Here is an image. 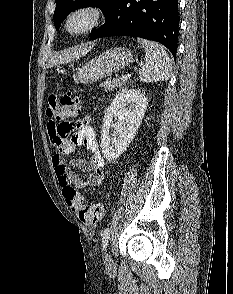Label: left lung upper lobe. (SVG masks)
<instances>
[{
	"mask_svg": "<svg viewBox=\"0 0 233 294\" xmlns=\"http://www.w3.org/2000/svg\"><path fill=\"white\" fill-rule=\"evenodd\" d=\"M117 0H55L56 8L53 15L55 28L58 30L62 21L76 8L86 6L99 7L105 18L111 12Z\"/></svg>",
	"mask_w": 233,
	"mask_h": 294,
	"instance_id": "5c2ea615",
	"label": "left lung upper lobe"
}]
</instances>
